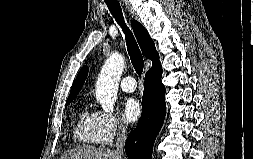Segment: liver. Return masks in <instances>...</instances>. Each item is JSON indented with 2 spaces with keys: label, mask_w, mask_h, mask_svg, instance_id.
Wrapping results in <instances>:
<instances>
[{
  "label": "liver",
  "mask_w": 253,
  "mask_h": 159,
  "mask_svg": "<svg viewBox=\"0 0 253 159\" xmlns=\"http://www.w3.org/2000/svg\"><path fill=\"white\" fill-rule=\"evenodd\" d=\"M60 159H122V155L110 149L79 146L65 152Z\"/></svg>",
  "instance_id": "obj_1"
}]
</instances>
